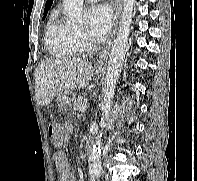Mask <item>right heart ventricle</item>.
<instances>
[{
  "label": "right heart ventricle",
  "mask_w": 197,
  "mask_h": 181,
  "mask_svg": "<svg viewBox=\"0 0 197 181\" xmlns=\"http://www.w3.org/2000/svg\"><path fill=\"white\" fill-rule=\"evenodd\" d=\"M45 45L48 53L57 58H71L80 53L76 28L57 15H52L47 24Z\"/></svg>",
  "instance_id": "e07e8e85"
}]
</instances>
